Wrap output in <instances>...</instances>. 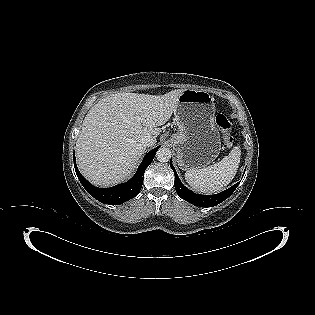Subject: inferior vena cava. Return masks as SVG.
<instances>
[{
  "instance_id": "obj_1",
  "label": "inferior vena cava",
  "mask_w": 315,
  "mask_h": 315,
  "mask_svg": "<svg viewBox=\"0 0 315 315\" xmlns=\"http://www.w3.org/2000/svg\"><path fill=\"white\" fill-rule=\"evenodd\" d=\"M155 140L151 136H145L142 138V143L146 146H152Z\"/></svg>"
}]
</instances>
